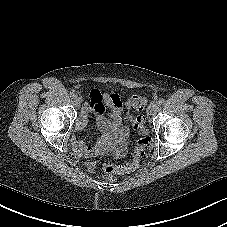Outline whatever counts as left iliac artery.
Returning a JSON list of instances; mask_svg holds the SVG:
<instances>
[{"mask_svg":"<svg viewBox=\"0 0 227 227\" xmlns=\"http://www.w3.org/2000/svg\"><path fill=\"white\" fill-rule=\"evenodd\" d=\"M165 103V100L163 98L159 99L158 104L163 105Z\"/></svg>","mask_w":227,"mask_h":227,"instance_id":"1","label":"left iliac artery"}]
</instances>
